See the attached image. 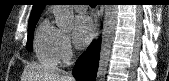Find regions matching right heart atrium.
I'll list each match as a JSON object with an SVG mask.
<instances>
[{
	"label": "right heart atrium",
	"instance_id": "1",
	"mask_svg": "<svg viewBox=\"0 0 169 81\" xmlns=\"http://www.w3.org/2000/svg\"><path fill=\"white\" fill-rule=\"evenodd\" d=\"M73 45L71 39L66 34H59L57 41V55L59 61L65 62L73 56Z\"/></svg>",
	"mask_w": 169,
	"mask_h": 81
}]
</instances>
